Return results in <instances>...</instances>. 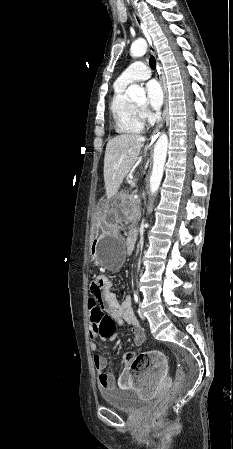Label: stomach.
<instances>
[{"label": "stomach", "mask_w": 233, "mask_h": 449, "mask_svg": "<svg viewBox=\"0 0 233 449\" xmlns=\"http://www.w3.org/2000/svg\"><path fill=\"white\" fill-rule=\"evenodd\" d=\"M98 210H115V201H98ZM118 212H93L97 223V236L90 244L93 260L108 270L120 269L124 261L125 246L115 233L119 220Z\"/></svg>", "instance_id": "0dacf381"}]
</instances>
